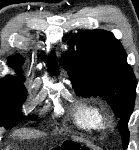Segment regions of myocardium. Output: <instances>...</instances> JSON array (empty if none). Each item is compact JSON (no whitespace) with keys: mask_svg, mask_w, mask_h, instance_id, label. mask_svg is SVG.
I'll list each match as a JSON object with an SVG mask.
<instances>
[{"mask_svg":"<svg viewBox=\"0 0 139 150\" xmlns=\"http://www.w3.org/2000/svg\"><path fill=\"white\" fill-rule=\"evenodd\" d=\"M103 124L108 128H112L113 127V118L111 116L103 117Z\"/></svg>","mask_w":139,"mask_h":150,"instance_id":"f54148a6","label":"myocardium"}]
</instances>
